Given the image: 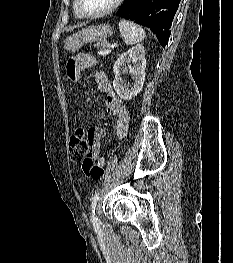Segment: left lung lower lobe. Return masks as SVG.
<instances>
[{
	"label": "left lung lower lobe",
	"instance_id": "left-lung-lower-lobe-1",
	"mask_svg": "<svg viewBox=\"0 0 233 263\" xmlns=\"http://www.w3.org/2000/svg\"><path fill=\"white\" fill-rule=\"evenodd\" d=\"M181 0H125L116 15L150 28L162 47L170 37L169 31Z\"/></svg>",
	"mask_w": 233,
	"mask_h": 263
}]
</instances>
